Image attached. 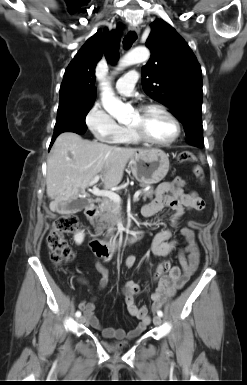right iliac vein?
<instances>
[{"instance_id": "63e3f726", "label": "right iliac vein", "mask_w": 247, "mask_h": 385, "mask_svg": "<svg viewBox=\"0 0 247 385\" xmlns=\"http://www.w3.org/2000/svg\"><path fill=\"white\" fill-rule=\"evenodd\" d=\"M78 322H79V323H84V322H85L84 316H81V317L78 319Z\"/></svg>"}]
</instances>
